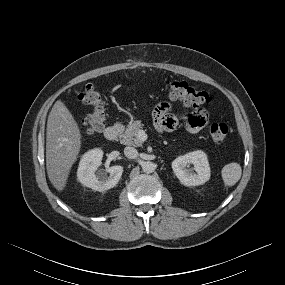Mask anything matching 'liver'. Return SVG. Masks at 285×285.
Instances as JSON below:
<instances>
[{"label": "liver", "mask_w": 285, "mask_h": 285, "mask_svg": "<svg viewBox=\"0 0 285 285\" xmlns=\"http://www.w3.org/2000/svg\"><path fill=\"white\" fill-rule=\"evenodd\" d=\"M80 148L79 126L65 104L58 100L48 116L46 131V169L58 191L65 188Z\"/></svg>", "instance_id": "liver-1"}]
</instances>
